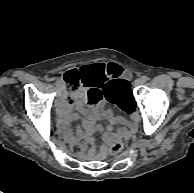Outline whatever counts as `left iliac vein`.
Wrapping results in <instances>:
<instances>
[{"label":"left iliac vein","instance_id":"4c4485c4","mask_svg":"<svg viewBox=\"0 0 194 193\" xmlns=\"http://www.w3.org/2000/svg\"><path fill=\"white\" fill-rule=\"evenodd\" d=\"M134 83H135V85H140L143 82H142L141 78H139V79H136Z\"/></svg>","mask_w":194,"mask_h":193}]
</instances>
